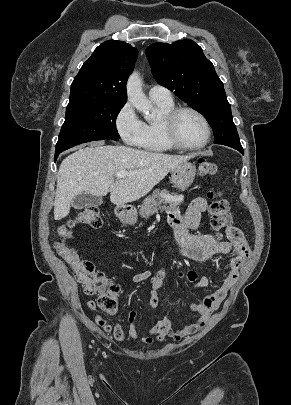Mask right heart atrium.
I'll use <instances>...</instances> for the list:
<instances>
[{"label": "right heart atrium", "instance_id": "obj_1", "mask_svg": "<svg viewBox=\"0 0 291 405\" xmlns=\"http://www.w3.org/2000/svg\"><path fill=\"white\" fill-rule=\"evenodd\" d=\"M115 128L125 144L140 146L144 134V122L129 102L118 110L115 116Z\"/></svg>", "mask_w": 291, "mask_h": 405}]
</instances>
